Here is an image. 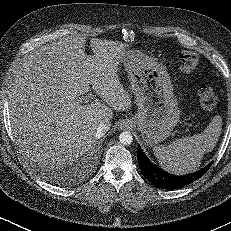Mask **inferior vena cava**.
<instances>
[{"label":"inferior vena cava","mask_w":231,"mask_h":231,"mask_svg":"<svg viewBox=\"0 0 231 231\" xmlns=\"http://www.w3.org/2000/svg\"><path fill=\"white\" fill-rule=\"evenodd\" d=\"M111 127V123H102L97 127L96 138L103 137Z\"/></svg>","instance_id":"1"}]
</instances>
